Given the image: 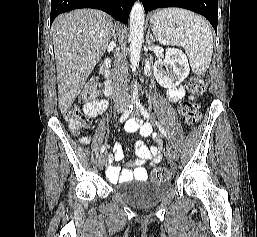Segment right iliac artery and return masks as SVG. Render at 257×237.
Instances as JSON below:
<instances>
[{
  "label": "right iliac artery",
  "instance_id": "1",
  "mask_svg": "<svg viewBox=\"0 0 257 237\" xmlns=\"http://www.w3.org/2000/svg\"><path fill=\"white\" fill-rule=\"evenodd\" d=\"M132 110H133V104H130L128 108L125 110V112L123 113V115L121 116L120 122H124L129 117ZM104 150H105V146L103 145L100 149V153L102 154Z\"/></svg>",
  "mask_w": 257,
  "mask_h": 237
}]
</instances>
